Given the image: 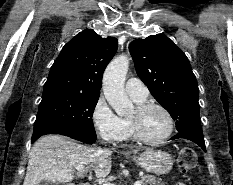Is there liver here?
I'll use <instances>...</instances> for the list:
<instances>
[{"label":"liver","instance_id":"obj_1","mask_svg":"<svg viewBox=\"0 0 233 185\" xmlns=\"http://www.w3.org/2000/svg\"><path fill=\"white\" fill-rule=\"evenodd\" d=\"M111 155L110 149L87 147L64 136H42L30 151L23 185H38L41 181L70 182L76 165L87 166L78 171L77 177L92 168L96 177L105 178L111 171Z\"/></svg>","mask_w":233,"mask_h":185}]
</instances>
